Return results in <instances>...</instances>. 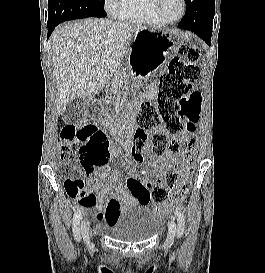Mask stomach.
I'll list each match as a JSON object with an SVG mask.
<instances>
[{"label":"stomach","mask_w":265,"mask_h":273,"mask_svg":"<svg viewBox=\"0 0 265 273\" xmlns=\"http://www.w3.org/2000/svg\"><path fill=\"white\" fill-rule=\"evenodd\" d=\"M173 30L143 27L132 39L126 55V65H132L128 78H159L168 68L175 47ZM128 85H141V80H128Z\"/></svg>","instance_id":"obj_1"}]
</instances>
